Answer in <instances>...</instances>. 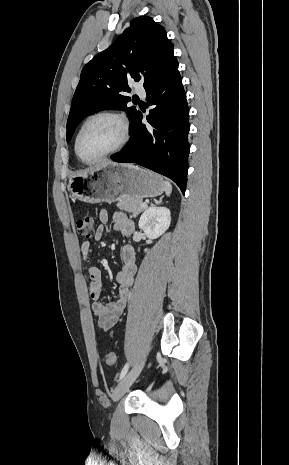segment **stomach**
<instances>
[{"mask_svg": "<svg viewBox=\"0 0 289 465\" xmlns=\"http://www.w3.org/2000/svg\"><path fill=\"white\" fill-rule=\"evenodd\" d=\"M74 199L86 203H112L123 198L143 199L161 195L162 177L133 164H103L69 179Z\"/></svg>", "mask_w": 289, "mask_h": 465, "instance_id": "obj_1", "label": "stomach"}]
</instances>
